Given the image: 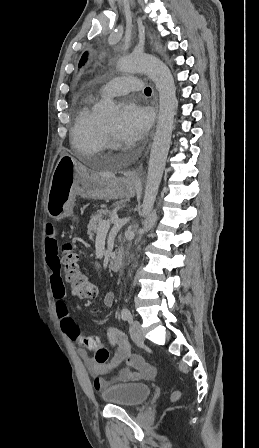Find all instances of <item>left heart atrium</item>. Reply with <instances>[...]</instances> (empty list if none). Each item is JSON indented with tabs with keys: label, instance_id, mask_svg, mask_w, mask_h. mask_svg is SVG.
<instances>
[{
	"label": "left heart atrium",
	"instance_id": "39dd6f15",
	"mask_svg": "<svg viewBox=\"0 0 259 448\" xmlns=\"http://www.w3.org/2000/svg\"><path fill=\"white\" fill-rule=\"evenodd\" d=\"M149 126V113L135 101H127L122 105L116 121V129L120 136L128 141L141 139Z\"/></svg>",
	"mask_w": 259,
	"mask_h": 448
}]
</instances>
